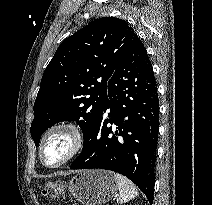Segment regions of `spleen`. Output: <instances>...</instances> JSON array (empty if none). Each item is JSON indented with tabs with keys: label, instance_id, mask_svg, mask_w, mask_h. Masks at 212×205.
<instances>
[{
	"label": "spleen",
	"instance_id": "1",
	"mask_svg": "<svg viewBox=\"0 0 212 205\" xmlns=\"http://www.w3.org/2000/svg\"><path fill=\"white\" fill-rule=\"evenodd\" d=\"M115 180L117 182V188L119 195L117 202L123 204L130 201L138 195L136 186L126 177L121 174H114Z\"/></svg>",
	"mask_w": 212,
	"mask_h": 205
}]
</instances>
